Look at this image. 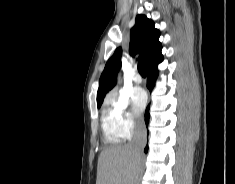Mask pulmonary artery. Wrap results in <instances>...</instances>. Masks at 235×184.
Instances as JSON below:
<instances>
[{"mask_svg": "<svg viewBox=\"0 0 235 184\" xmlns=\"http://www.w3.org/2000/svg\"><path fill=\"white\" fill-rule=\"evenodd\" d=\"M132 80L135 84H141L142 83V77L138 72L133 73Z\"/></svg>", "mask_w": 235, "mask_h": 184, "instance_id": "pulmonary-artery-1", "label": "pulmonary artery"}]
</instances>
